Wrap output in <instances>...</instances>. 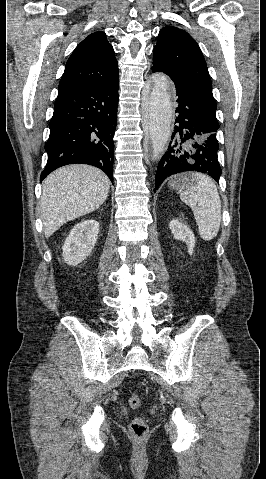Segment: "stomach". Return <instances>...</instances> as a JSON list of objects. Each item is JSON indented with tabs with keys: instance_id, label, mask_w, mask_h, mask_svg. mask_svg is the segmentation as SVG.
<instances>
[{
	"instance_id": "obj_1",
	"label": "stomach",
	"mask_w": 266,
	"mask_h": 479,
	"mask_svg": "<svg viewBox=\"0 0 266 479\" xmlns=\"http://www.w3.org/2000/svg\"><path fill=\"white\" fill-rule=\"evenodd\" d=\"M192 176L191 174L182 175L170 181V187L176 190L182 191L186 186L191 183Z\"/></svg>"
}]
</instances>
